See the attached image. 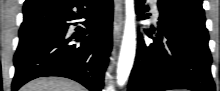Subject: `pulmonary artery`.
<instances>
[{
	"instance_id": "obj_1",
	"label": "pulmonary artery",
	"mask_w": 220,
	"mask_h": 91,
	"mask_svg": "<svg viewBox=\"0 0 220 91\" xmlns=\"http://www.w3.org/2000/svg\"><path fill=\"white\" fill-rule=\"evenodd\" d=\"M154 16L156 19L159 17V13L156 8H154Z\"/></svg>"
}]
</instances>
